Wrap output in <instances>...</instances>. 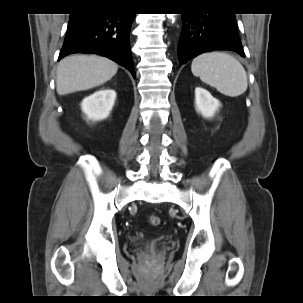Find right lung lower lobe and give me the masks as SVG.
Returning a JSON list of instances; mask_svg holds the SVG:
<instances>
[{
  "mask_svg": "<svg viewBox=\"0 0 303 303\" xmlns=\"http://www.w3.org/2000/svg\"><path fill=\"white\" fill-rule=\"evenodd\" d=\"M134 13L86 9L72 13L59 59L74 53L105 56L128 69L135 76L130 51V29Z\"/></svg>",
  "mask_w": 303,
  "mask_h": 303,
  "instance_id": "obj_1",
  "label": "right lung lower lobe"
}]
</instances>
